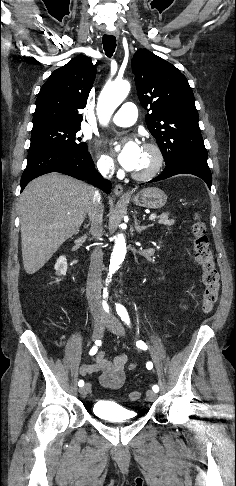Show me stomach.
<instances>
[{"instance_id":"0dacf381","label":"stomach","mask_w":236,"mask_h":486,"mask_svg":"<svg viewBox=\"0 0 236 486\" xmlns=\"http://www.w3.org/2000/svg\"><path fill=\"white\" fill-rule=\"evenodd\" d=\"M132 202L141 207L159 209L166 204L167 196L157 187H147L134 195Z\"/></svg>"}]
</instances>
